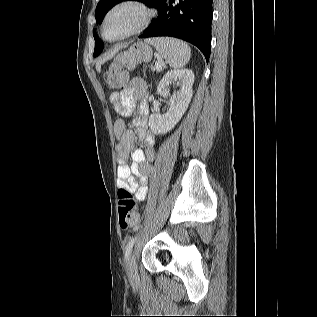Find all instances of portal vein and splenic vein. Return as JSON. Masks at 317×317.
I'll list each match as a JSON object with an SVG mask.
<instances>
[{"label": "portal vein and splenic vein", "mask_w": 317, "mask_h": 317, "mask_svg": "<svg viewBox=\"0 0 317 317\" xmlns=\"http://www.w3.org/2000/svg\"><path fill=\"white\" fill-rule=\"evenodd\" d=\"M155 67H156V69H157L158 71L161 70V69H162V62L158 60V61L155 63Z\"/></svg>", "instance_id": "1"}]
</instances>
